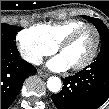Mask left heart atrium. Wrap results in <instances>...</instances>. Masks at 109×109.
<instances>
[{"label":"left heart atrium","instance_id":"1","mask_svg":"<svg viewBox=\"0 0 109 109\" xmlns=\"http://www.w3.org/2000/svg\"><path fill=\"white\" fill-rule=\"evenodd\" d=\"M47 67L53 71L59 72L68 69L70 65L62 55H59L51 59L48 62Z\"/></svg>","mask_w":109,"mask_h":109}]
</instances>
